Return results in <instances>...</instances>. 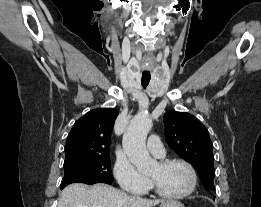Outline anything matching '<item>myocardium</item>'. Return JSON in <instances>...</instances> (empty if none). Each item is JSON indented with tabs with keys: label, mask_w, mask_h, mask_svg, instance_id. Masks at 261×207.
Masks as SVG:
<instances>
[{
	"label": "myocardium",
	"mask_w": 261,
	"mask_h": 207,
	"mask_svg": "<svg viewBox=\"0 0 261 207\" xmlns=\"http://www.w3.org/2000/svg\"><path fill=\"white\" fill-rule=\"evenodd\" d=\"M158 164L161 166H168L171 164L183 165L188 170V173L190 175V184H189V187L184 192L178 193V194H170V193H167V192L163 191L162 189H160L154 183V181L149 178L151 188L154 190V192L157 195H159L160 197L165 198V199L177 200V199L186 198L194 192V190L196 189V185H197V175H196L194 167L189 162H187L184 159H180V158H166V159H161L158 162Z\"/></svg>",
	"instance_id": "1"
}]
</instances>
